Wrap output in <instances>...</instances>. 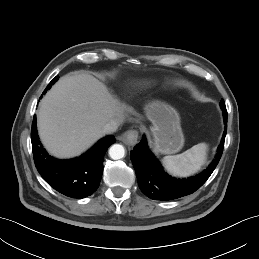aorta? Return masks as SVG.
<instances>
[{
    "label": "aorta",
    "mask_w": 259,
    "mask_h": 259,
    "mask_svg": "<svg viewBox=\"0 0 259 259\" xmlns=\"http://www.w3.org/2000/svg\"><path fill=\"white\" fill-rule=\"evenodd\" d=\"M124 155H125V149L120 144H114L109 149V156L113 160L122 159L124 157Z\"/></svg>",
    "instance_id": "762f6f07"
}]
</instances>
